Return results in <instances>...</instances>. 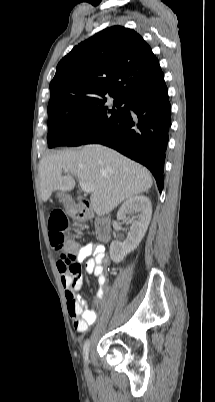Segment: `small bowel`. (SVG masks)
Returning <instances> with one entry per match:
<instances>
[{"instance_id": "obj_1", "label": "small bowel", "mask_w": 215, "mask_h": 402, "mask_svg": "<svg viewBox=\"0 0 215 402\" xmlns=\"http://www.w3.org/2000/svg\"><path fill=\"white\" fill-rule=\"evenodd\" d=\"M89 256L92 257L88 258ZM75 257L79 265L78 270L69 271L60 259L57 262V268L65 293L68 314L73 321L76 331L83 333L87 331L90 325L95 323L97 313L95 310L89 308L87 301L78 294L83 283L80 263L85 260V272L97 278L98 289L96 299L101 303L109 292L108 271L106 269L109 265V258L106 255L104 245L92 241L82 245L81 250H76Z\"/></svg>"}]
</instances>
